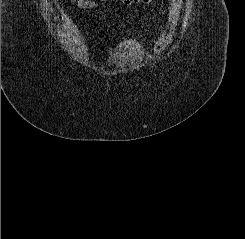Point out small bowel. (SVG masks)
<instances>
[{"instance_id": "1", "label": "small bowel", "mask_w": 245, "mask_h": 239, "mask_svg": "<svg viewBox=\"0 0 245 239\" xmlns=\"http://www.w3.org/2000/svg\"><path fill=\"white\" fill-rule=\"evenodd\" d=\"M76 4L79 8L90 10L95 9L98 6L93 0H76Z\"/></svg>"}]
</instances>
